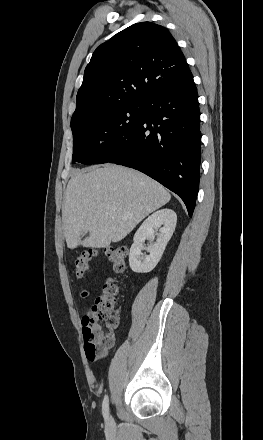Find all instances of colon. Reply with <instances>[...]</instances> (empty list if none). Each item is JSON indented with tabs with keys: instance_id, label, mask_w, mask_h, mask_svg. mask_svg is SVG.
Returning a JSON list of instances; mask_svg holds the SVG:
<instances>
[{
	"instance_id": "colon-1",
	"label": "colon",
	"mask_w": 263,
	"mask_h": 440,
	"mask_svg": "<svg viewBox=\"0 0 263 440\" xmlns=\"http://www.w3.org/2000/svg\"><path fill=\"white\" fill-rule=\"evenodd\" d=\"M108 259L116 272H123L127 251L122 246H111L106 250ZM96 250L87 248L74 259V270L83 277L90 268V261ZM119 289L110 279L103 285V293L86 309L83 318L84 352L89 360L102 359L113 342L114 330L118 324L119 308L117 296Z\"/></svg>"
}]
</instances>
